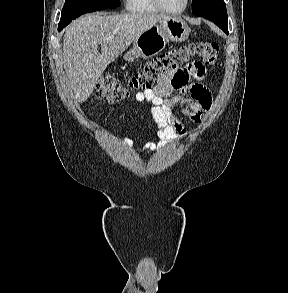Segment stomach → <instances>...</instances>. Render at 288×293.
Segmentation results:
<instances>
[{"label": "stomach", "instance_id": "0dacf381", "mask_svg": "<svg viewBox=\"0 0 288 293\" xmlns=\"http://www.w3.org/2000/svg\"><path fill=\"white\" fill-rule=\"evenodd\" d=\"M189 34L190 28L183 19L166 17L134 40L124 59L132 62L138 58L153 57L165 48L168 41L182 42Z\"/></svg>", "mask_w": 288, "mask_h": 293}]
</instances>
